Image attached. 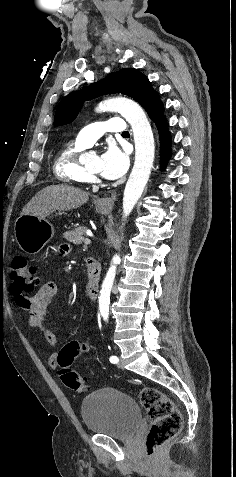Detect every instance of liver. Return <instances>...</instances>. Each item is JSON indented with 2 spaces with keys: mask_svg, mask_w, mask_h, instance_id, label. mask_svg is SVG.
Instances as JSON below:
<instances>
[{
  "mask_svg": "<svg viewBox=\"0 0 236 477\" xmlns=\"http://www.w3.org/2000/svg\"><path fill=\"white\" fill-rule=\"evenodd\" d=\"M89 199L81 189L66 185H51L39 191L23 208L21 215L48 216L56 210L78 208Z\"/></svg>",
  "mask_w": 236,
  "mask_h": 477,
  "instance_id": "6515ba94",
  "label": "liver"
}]
</instances>
